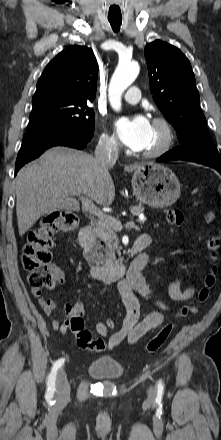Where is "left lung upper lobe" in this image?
Listing matches in <instances>:
<instances>
[{"mask_svg": "<svg viewBox=\"0 0 221 440\" xmlns=\"http://www.w3.org/2000/svg\"><path fill=\"white\" fill-rule=\"evenodd\" d=\"M144 54L153 99L175 128L181 144L171 152L183 160L221 166V157L199 105L195 76L187 57L161 40L147 44Z\"/></svg>", "mask_w": 221, "mask_h": 440, "instance_id": "1", "label": "left lung upper lobe"}]
</instances>
